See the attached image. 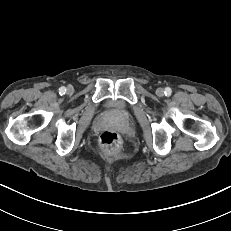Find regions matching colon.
<instances>
[{
  "label": "colon",
  "instance_id": "colon-1",
  "mask_svg": "<svg viewBox=\"0 0 231 231\" xmlns=\"http://www.w3.org/2000/svg\"><path fill=\"white\" fill-rule=\"evenodd\" d=\"M120 136L114 131H104L99 138V143L106 150H116L120 146Z\"/></svg>",
  "mask_w": 231,
  "mask_h": 231
}]
</instances>
